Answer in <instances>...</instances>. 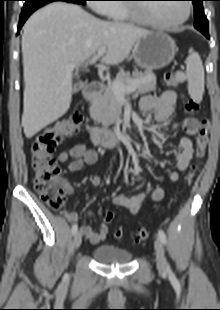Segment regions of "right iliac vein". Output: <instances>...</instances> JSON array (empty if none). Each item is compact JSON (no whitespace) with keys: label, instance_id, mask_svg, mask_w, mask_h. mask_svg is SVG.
Returning a JSON list of instances; mask_svg holds the SVG:
<instances>
[{"label":"right iliac vein","instance_id":"63e3f726","mask_svg":"<svg viewBox=\"0 0 220 310\" xmlns=\"http://www.w3.org/2000/svg\"><path fill=\"white\" fill-rule=\"evenodd\" d=\"M82 242V234L81 232H76L73 239V246L75 249H78Z\"/></svg>","mask_w":220,"mask_h":310}]
</instances>
